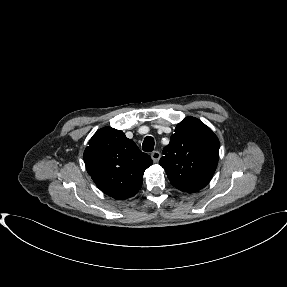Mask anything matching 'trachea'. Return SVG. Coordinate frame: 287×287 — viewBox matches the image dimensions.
Here are the masks:
<instances>
[{
    "label": "trachea",
    "mask_w": 287,
    "mask_h": 287,
    "mask_svg": "<svg viewBox=\"0 0 287 287\" xmlns=\"http://www.w3.org/2000/svg\"><path fill=\"white\" fill-rule=\"evenodd\" d=\"M154 139L151 136L145 137L143 144H142V149L145 152H151L154 149Z\"/></svg>",
    "instance_id": "1"
}]
</instances>
